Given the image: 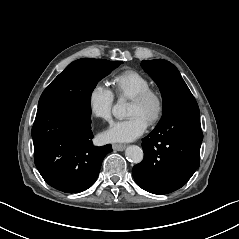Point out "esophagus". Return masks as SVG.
I'll use <instances>...</instances> for the list:
<instances>
[{"label":"esophagus","mask_w":239,"mask_h":239,"mask_svg":"<svg viewBox=\"0 0 239 239\" xmlns=\"http://www.w3.org/2000/svg\"><path fill=\"white\" fill-rule=\"evenodd\" d=\"M112 148H113V150H115V151H123V150L126 148V145L114 143V144L112 145Z\"/></svg>","instance_id":"esophagus-1"}]
</instances>
